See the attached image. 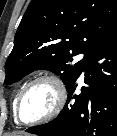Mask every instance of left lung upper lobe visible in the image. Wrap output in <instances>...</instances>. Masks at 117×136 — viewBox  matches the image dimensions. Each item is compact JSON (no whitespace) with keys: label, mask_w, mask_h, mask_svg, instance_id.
Listing matches in <instances>:
<instances>
[{"label":"left lung upper lobe","mask_w":117,"mask_h":136,"mask_svg":"<svg viewBox=\"0 0 117 136\" xmlns=\"http://www.w3.org/2000/svg\"><path fill=\"white\" fill-rule=\"evenodd\" d=\"M116 22L117 0H32L6 61L4 83L47 69L59 74L67 88L85 60L74 62L72 56H87Z\"/></svg>","instance_id":"obj_1"}]
</instances>
